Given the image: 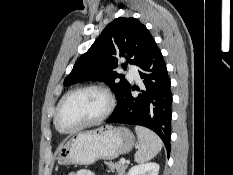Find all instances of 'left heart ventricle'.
<instances>
[{"label":"left heart ventricle","mask_w":233,"mask_h":175,"mask_svg":"<svg viewBox=\"0 0 233 175\" xmlns=\"http://www.w3.org/2000/svg\"><path fill=\"white\" fill-rule=\"evenodd\" d=\"M106 105V98L98 91L77 92L62 104L58 124L64 130L73 129L100 115Z\"/></svg>","instance_id":"left-heart-ventricle-1"}]
</instances>
